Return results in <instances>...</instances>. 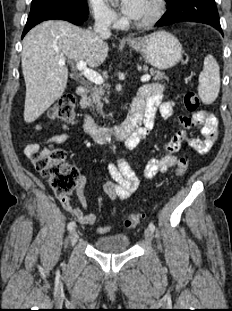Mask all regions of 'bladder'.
I'll return each mask as SVG.
<instances>
[{
  "mask_svg": "<svg viewBox=\"0 0 232 311\" xmlns=\"http://www.w3.org/2000/svg\"><path fill=\"white\" fill-rule=\"evenodd\" d=\"M130 240L127 234L113 233L100 236L94 241V248L99 252L120 253L129 249Z\"/></svg>",
  "mask_w": 232,
  "mask_h": 311,
  "instance_id": "obj_1",
  "label": "bladder"
}]
</instances>
